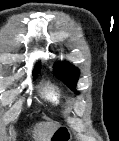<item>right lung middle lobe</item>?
<instances>
[{"instance_id": "1", "label": "right lung middle lobe", "mask_w": 119, "mask_h": 141, "mask_svg": "<svg viewBox=\"0 0 119 141\" xmlns=\"http://www.w3.org/2000/svg\"><path fill=\"white\" fill-rule=\"evenodd\" d=\"M38 72H39V71L34 72V73H33V76L36 77Z\"/></svg>"}]
</instances>
